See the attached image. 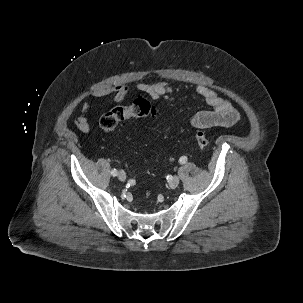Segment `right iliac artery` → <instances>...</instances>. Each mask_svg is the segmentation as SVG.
<instances>
[{
	"mask_svg": "<svg viewBox=\"0 0 303 303\" xmlns=\"http://www.w3.org/2000/svg\"><path fill=\"white\" fill-rule=\"evenodd\" d=\"M111 175H112V176H117V175H118V171H117L116 169H113V170L111 171Z\"/></svg>",
	"mask_w": 303,
	"mask_h": 303,
	"instance_id": "1",
	"label": "right iliac artery"
}]
</instances>
